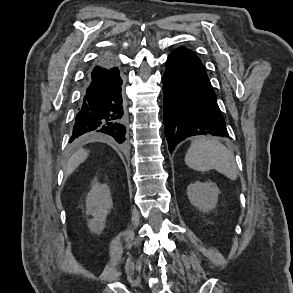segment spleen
I'll return each mask as SVG.
<instances>
[{
    "mask_svg": "<svg viewBox=\"0 0 293 293\" xmlns=\"http://www.w3.org/2000/svg\"><path fill=\"white\" fill-rule=\"evenodd\" d=\"M185 163L197 171L215 169L231 180H236L238 176L233 153L214 138L194 140L185 155Z\"/></svg>",
    "mask_w": 293,
    "mask_h": 293,
    "instance_id": "spleen-1",
    "label": "spleen"
}]
</instances>
